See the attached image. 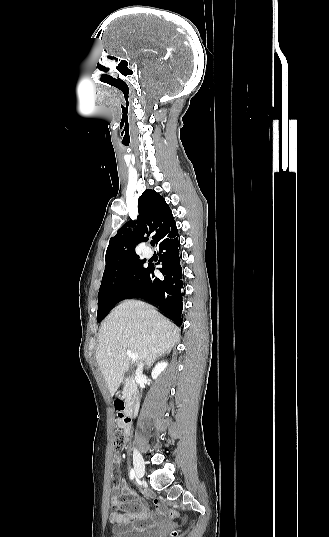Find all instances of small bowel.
<instances>
[{
	"mask_svg": "<svg viewBox=\"0 0 329 537\" xmlns=\"http://www.w3.org/2000/svg\"><path fill=\"white\" fill-rule=\"evenodd\" d=\"M124 432L129 435L131 427L127 423L117 422ZM114 462L120 464V457H115ZM155 510L151 511L143 499L127 486L123 480H119L111 493L110 504L116 509L124 510V513L111 512L109 520L115 524L114 532H134L152 528L158 521L164 518V510L158 499H153Z\"/></svg>",
	"mask_w": 329,
	"mask_h": 537,
	"instance_id": "c3829d8e",
	"label": "small bowel"
}]
</instances>
